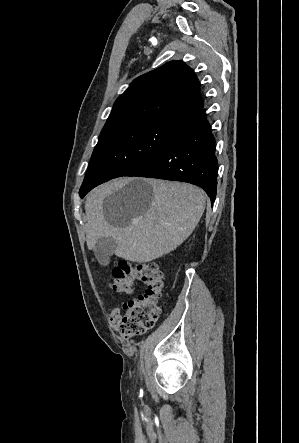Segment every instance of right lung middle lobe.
I'll return each mask as SVG.
<instances>
[{
  "label": "right lung middle lobe",
  "mask_w": 299,
  "mask_h": 443,
  "mask_svg": "<svg viewBox=\"0 0 299 443\" xmlns=\"http://www.w3.org/2000/svg\"><path fill=\"white\" fill-rule=\"evenodd\" d=\"M180 125L179 120L149 118L100 135L80 196L146 162L174 137Z\"/></svg>",
  "instance_id": "obj_1"
}]
</instances>
